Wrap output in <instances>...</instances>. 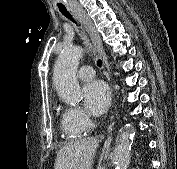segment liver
Segmentation results:
<instances>
[{
  "mask_svg": "<svg viewBox=\"0 0 177 169\" xmlns=\"http://www.w3.org/2000/svg\"><path fill=\"white\" fill-rule=\"evenodd\" d=\"M99 141L83 138L64 145L57 153L54 169H91Z\"/></svg>",
  "mask_w": 177,
  "mask_h": 169,
  "instance_id": "1",
  "label": "liver"
}]
</instances>
